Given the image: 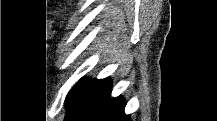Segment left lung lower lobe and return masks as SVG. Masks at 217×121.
Here are the masks:
<instances>
[{"instance_id": "0a47b994", "label": "left lung lower lobe", "mask_w": 217, "mask_h": 121, "mask_svg": "<svg viewBox=\"0 0 217 121\" xmlns=\"http://www.w3.org/2000/svg\"><path fill=\"white\" fill-rule=\"evenodd\" d=\"M109 78L95 80L92 84L86 104L74 121H130L124 114L125 102L121 97L112 99Z\"/></svg>"}]
</instances>
